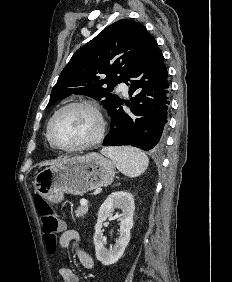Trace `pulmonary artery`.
<instances>
[{
  "instance_id": "obj_1",
  "label": "pulmonary artery",
  "mask_w": 232,
  "mask_h": 282,
  "mask_svg": "<svg viewBox=\"0 0 232 282\" xmlns=\"http://www.w3.org/2000/svg\"><path fill=\"white\" fill-rule=\"evenodd\" d=\"M117 90H118V91H121L124 95H127V94H128V86H127L125 83H120V84L117 86Z\"/></svg>"
}]
</instances>
